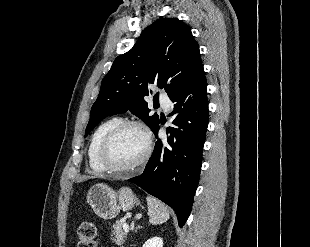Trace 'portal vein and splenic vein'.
<instances>
[{
    "label": "portal vein and splenic vein",
    "mask_w": 310,
    "mask_h": 247,
    "mask_svg": "<svg viewBox=\"0 0 310 247\" xmlns=\"http://www.w3.org/2000/svg\"><path fill=\"white\" fill-rule=\"evenodd\" d=\"M123 229H124L125 232H129V226H128V224L125 223V224L123 225Z\"/></svg>",
    "instance_id": "18ae733b"
}]
</instances>
